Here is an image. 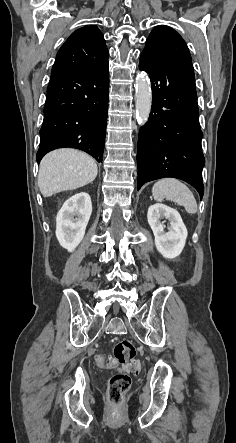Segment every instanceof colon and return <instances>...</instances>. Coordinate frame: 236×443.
I'll list each match as a JSON object with an SVG mask.
<instances>
[{
	"label": "colon",
	"mask_w": 236,
	"mask_h": 443,
	"mask_svg": "<svg viewBox=\"0 0 236 443\" xmlns=\"http://www.w3.org/2000/svg\"><path fill=\"white\" fill-rule=\"evenodd\" d=\"M136 349L132 341L122 339L116 342L113 349V357L105 361L104 357L99 356L97 361L101 366L107 368H124L128 371L139 372L141 364L135 360ZM131 386V378L125 372L113 374L108 382V398L112 404H119L124 394Z\"/></svg>",
	"instance_id": "5ec220e1"
}]
</instances>
